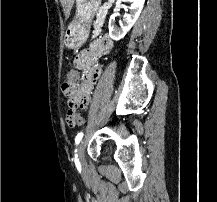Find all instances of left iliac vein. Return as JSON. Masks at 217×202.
<instances>
[{
	"label": "left iliac vein",
	"mask_w": 217,
	"mask_h": 202,
	"mask_svg": "<svg viewBox=\"0 0 217 202\" xmlns=\"http://www.w3.org/2000/svg\"><path fill=\"white\" fill-rule=\"evenodd\" d=\"M76 158L79 165L85 164L84 160V141H82L76 148Z\"/></svg>",
	"instance_id": "4c4485c4"
}]
</instances>
